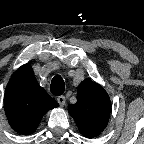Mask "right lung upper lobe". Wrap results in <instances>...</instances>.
<instances>
[{"label": "right lung upper lobe", "mask_w": 144, "mask_h": 144, "mask_svg": "<svg viewBox=\"0 0 144 144\" xmlns=\"http://www.w3.org/2000/svg\"><path fill=\"white\" fill-rule=\"evenodd\" d=\"M59 104L39 86L29 63L10 79L4 95V110L10 126L19 134L35 132L42 117Z\"/></svg>", "instance_id": "obj_1"}]
</instances>
